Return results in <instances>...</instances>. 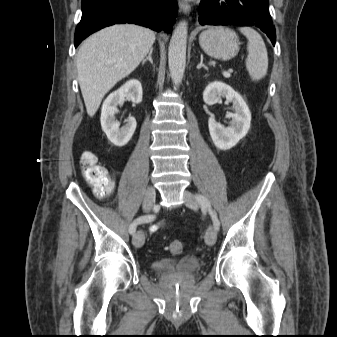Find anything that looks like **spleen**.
Returning <instances> with one entry per match:
<instances>
[{
    "instance_id": "1",
    "label": "spleen",
    "mask_w": 337,
    "mask_h": 337,
    "mask_svg": "<svg viewBox=\"0 0 337 337\" xmlns=\"http://www.w3.org/2000/svg\"><path fill=\"white\" fill-rule=\"evenodd\" d=\"M247 38L248 55L245 61L246 69L253 81L264 78L268 70V55L261 35L250 27L239 28Z\"/></svg>"
}]
</instances>
